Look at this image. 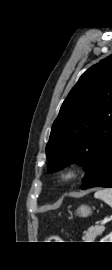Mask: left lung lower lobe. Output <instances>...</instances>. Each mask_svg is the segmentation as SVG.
Wrapping results in <instances>:
<instances>
[{
    "label": "left lung lower lobe",
    "instance_id": "left-lung-lower-lobe-1",
    "mask_svg": "<svg viewBox=\"0 0 112 270\" xmlns=\"http://www.w3.org/2000/svg\"><path fill=\"white\" fill-rule=\"evenodd\" d=\"M91 187H112V145L107 149L99 171L84 182L81 189Z\"/></svg>",
    "mask_w": 112,
    "mask_h": 270
}]
</instances>
